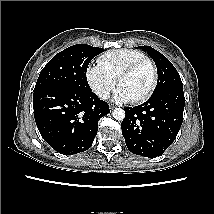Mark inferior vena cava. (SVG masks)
<instances>
[{
    "mask_svg": "<svg viewBox=\"0 0 214 214\" xmlns=\"http://www.w3.org/2000/svg\"><path fill=\"white\" fill-rule=\"evenodd\" d=\"M97 95L102 99H108L109 98V92L106 90H102V89L98 90Z\"/></svg>",
    "mask_w": 214,
    "mask_h": 214,
    "instance_id": "1",
    "label": "inferior vena cava"
}]
</instances>
